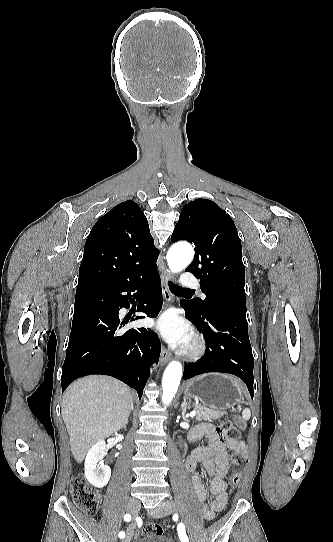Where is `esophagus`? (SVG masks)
Here are the masks:
<instances>
[{
    "mask_svg": "<svg viewBox=\"0 0 333 542\" xmlns=\"http://www.w3.org/2000/svg\"><path fill=\"white\" fill-rule=\"evenodd\" d=\"M170 279H171V274L169 270L167 268H164V270L161 273L162 293H163L165 301L168 303L173 302V298L167 286V281H169ZM170 359H171V353L167 350L165 345H162L161 356H160L161 365H165L167 362H169Z\"/></svg>",
    "mask_w": 333,
    "mask_h": 542,
    "instance_id": "1",
    "label": "esophagus"
}]
</instances>
